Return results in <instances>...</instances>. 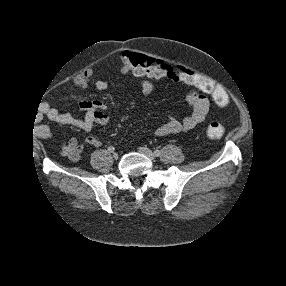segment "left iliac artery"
Listing matches in <instances>:
<instances>
[{
	"mask_svg": "<svg viewBox=\"0 0 286 286\" xmlns=\"http://www.w3.org/2000/svg\"><path fill=\"white\" fill-rule=\"evenodd\" d=\"M154 154H155V156L158 157V156H160L161 152H160V150L157 149V150L154 151Z\"/></svg>",
	"mask_w": 286,
	"mask_h": 286,
	"instance_id": "obj_1",
	"label": "left iliac artery"
}]
</instances>
